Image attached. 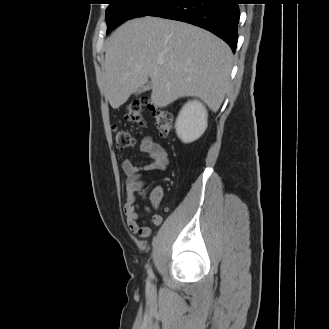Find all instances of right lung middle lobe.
<instances>
[{"instance_id": "right-lung-middle-lobe-1", "label": "right lung middle lobe", "mask_w": 329, "mask_h": 329, "mask_svg": "<svg viewBox=\"0 0 329 329\" xmlns=\"http://www.w3.org/2000/svg\"><path fill=\"white\" fill-rule=\"evenodd\" d=\"M172 0H109L106 9L107 33L124 21L150 15Z\"/></svg>"}]
</instances>
